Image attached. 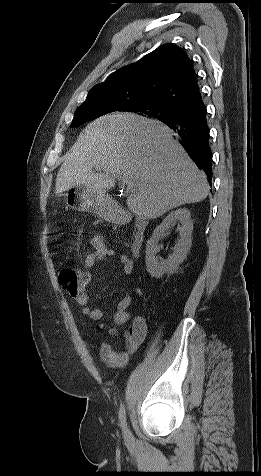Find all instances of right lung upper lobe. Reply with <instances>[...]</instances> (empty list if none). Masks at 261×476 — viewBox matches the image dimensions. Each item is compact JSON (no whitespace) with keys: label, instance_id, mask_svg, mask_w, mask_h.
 Listing matches in <instances>:
<instances>
[{"label":"right lung upper lobe","instance_id":"1","mask_svg":"<svg viewBox=\"0 0 261 476\" xmlns=\"http://www.w3.org/2000/svg\"><path fill=\"white\" fill-rule=\"evenodd\" d=\"M200 99L192 61L180 47L168 43L95 85L82 105L106 102L135 112L148 105L185 109Z\"/></svg>","mask_w":261,"mask_h":476}]
</instances>
